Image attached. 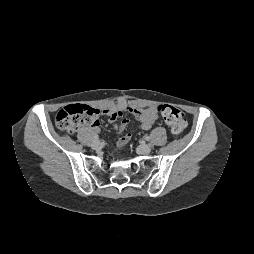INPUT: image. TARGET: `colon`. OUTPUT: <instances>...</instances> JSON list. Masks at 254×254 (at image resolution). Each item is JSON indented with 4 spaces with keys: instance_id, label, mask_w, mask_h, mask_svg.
<instances>
[{
    "instance_id": "1",
    "label": "colon",
    "mask_w": 254,
    "mask_h": 254,
    "mask_svg": "<svg viewBox=\"0 0 254 254\" xmlns=\"http://www.w3.org/2000/svg\"><path fill=\"white\" fill-rule=\"evenodd\" d=\"M155 110L161 115L173 135L178 136L185 131L187 123L181 110L168 104L158 105ZM98 118L99 112L97 109L88 105L75 104L59 110L55 122L59 129L73 133L80 125L92 124ZM127 142L124 138L120 139V144H126Z\"/></svg>"
}]
</instances>
